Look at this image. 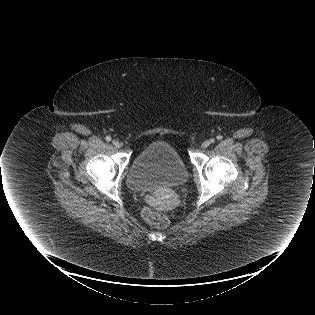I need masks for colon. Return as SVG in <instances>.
<instances>
[{
	"mask_svg": "<svg viewBox=\"0 0 315 315\" xmlns=\"http://www.w3.org/2000/svg\"><path fill=\"white\" fill-rule=\"evenodd\" d=\"M143 218L156 228H165L169 224V218L167 215L155 211L150 207H146L142 211Z\"/></svg>",
	"mask_w": 315,
	"mask_h": 315,
	"instance_id": "obj_1",
	"label": "colon"
}]
</instances>
